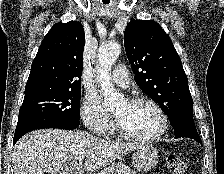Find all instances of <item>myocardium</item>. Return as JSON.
Segmentation results:
<instances>
[{"label":"myocardium","mask_w":224,"mask_h":174,"mask_svg":"<svg viewBox=\"0 0 224 174\" xmlns=\"http://www.w3.org/2000/svg\"><path fill=\"white\" fill-rule=\"evenodd\" d=\"M127 102L130 105H136V104H140V103H146L151 105L159 114L160 119H161V127L160 129L153 135L150 136H138V135H134L132 133H129L128 131H126L121 123L118 121V119L116 118V129L117 132L119 134L120 137L126 139V140H130V141H136V142H152L155 140H158L159 138H161L167 131L168 129V117L165 113V111L163 110V108L160 106V104L155 101L154 99L150 98V97H146V96H135L132 98H129L127 100Z\"/></svg>","instance_id":"myocardium-1"}]
</instances>
